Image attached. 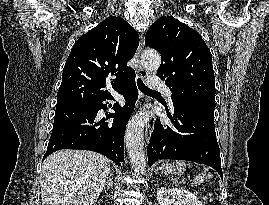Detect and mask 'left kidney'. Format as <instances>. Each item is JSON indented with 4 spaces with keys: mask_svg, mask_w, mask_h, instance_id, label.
<instances>
[{
    "mask_svg": "<svg viewBox=\"0 0 269 205\" xmlns=\"http://www.w3.org/2000/svg\"><path fill=\"white\" fill-rule=\"evenodd\" d=\"M157 200L160 205H202L199 198L185 189L161 187L157 190Z\"/></svg>",
    "mask_w": 269,
    "mask_h": 205,
    "instance_id": "obj_1",
    "label": "left kidney"
}]
</instances>
